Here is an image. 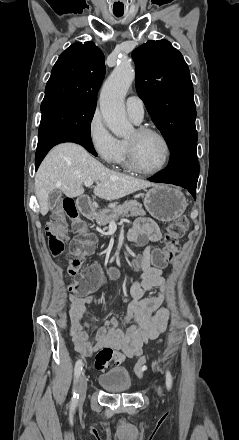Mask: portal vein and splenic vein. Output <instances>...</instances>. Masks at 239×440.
<instances>
[{"mask_svg": "<svg viewBox=\"0 0 239 440\" xmlns=\"http://www.w3.org/2000/svg\"><path fill=\"white\" fill-rule=\"evenodd\" d=\"M92 184H93L92 180H87V182H84V186H86V188H90Z\"/></svg>", "mask_w": 239, "mask_h": 440, "instance_id": "18ae733b", "label": "portal vein and splenic vein"}]
</instances>
